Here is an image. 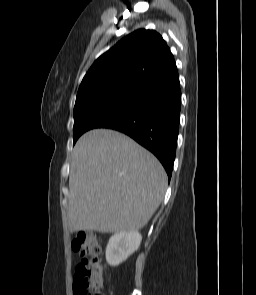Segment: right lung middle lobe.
<instances>
[{
	"label": "right lung middle lobe",
	"mask_w": 256,
	"mask_h": 295,
	"mask_svg": "<svg viewBox=\"0 0 256 295\" xmlns=\"http://www.w3.org/2000/svg\"><path fill=\"white\" fill-rule=\"evenodd\" d=\"M136 92L122 93L93 104L75 103L74 107V144L86 131L98 128L104 122L118 115L132 103Z\"/></svg>",
	"instance_id": "dd1d6c3e"
}]
</instances>
